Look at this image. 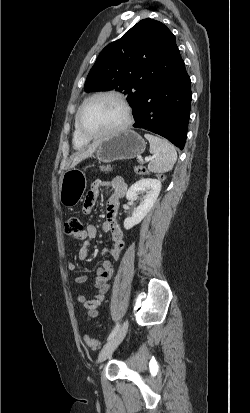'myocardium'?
I'll use <instances>...</instances> for the list:
<instances>
[{
    "instance_id": "1",
    "label": "myocardium",
    "mask_w": 250,
    "mask_h": 413,
    "mask_svg": "<svg viewBox=\"0 0 250 413\" xmlns=\"http://www.w3.org/2000/svg\"><path fill=\"white\" fill-rule=\"evenodd\" d=\"M98 97H112V98L116 99L117 101H119V103L123 106L124 111H125V120L120 126H118L115 129H112L110 131L103 132V133L91 134V133L86 132L82 127V122H81L82 114H83V111H84L85 107L87 106V104L89 102H91L92 100L98 98ZM132 121H133L132 108H131L130 104L127 102V100L125 99V97L119 92L112 91V90H107V91L96 92V93L90 95L88 98H86L83 101V103L81 104V106L79 107V109L77 111L76 128H77V131L80 134V136L83 137L84 139L96 140V139H103V138L115 136V135H118V134L124 132L125 130H127L131 126Z\"/></svg>"
}]
</instances>
